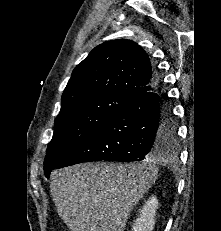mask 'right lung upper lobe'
<instances>
[{
	"mask_svg": "<svg viewBox=\"0 0 221 231\" xmlns=\"http://www.w3.org/2000/svg\"><path fill=\"white\" fill-rule=\"evenodd\" d=\"M155 75L147 53L135 42H104L73 70L62 95L61 109L92 96L131 100L155 88Z\"/></svg>",
	"mask_w": 221,
	"mask_h": 231,
	"instance_id": "cb5924a9",
	"label": "right lung upper lobe"
}]
</instances>
